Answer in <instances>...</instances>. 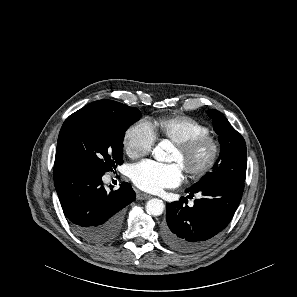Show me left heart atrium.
Instances as JSON below:
<instances>
[{
    "label": "left heart atrium",
    "instance_id": "1",
    "mask_svg": "<svg viewBox=\"0 0 297 297\" xmlns=\"http://www.w3.org/2000/svg\"><path fill=\"white\" fill-rule=\"evenodd\" d=\"M131 179L140 189L157 193L179 185L183 180V167L179 163L160 164L144 160L132 167Z\"/></svg>",
    "mask_w": 297,
    "mask_h": 297
}]
</instances>
